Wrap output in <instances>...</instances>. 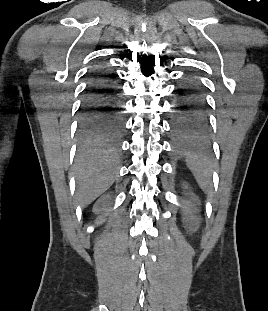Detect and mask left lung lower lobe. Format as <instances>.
Masks as SVG:
<instances>
[{"mask_svg":"<svg viewBox=\"0 0 268 311\" xmlns=\"http://www.w3.org/2000/svg\"><path fill=\"white\" fill-rule=\"evenodd\" d=\"M175 132L172 141H209V119L201 84L194 76H186L177 90L176 105L172 110Z\"/></svg>","mask_w":268,"mask_h":311,"instance_id":"1","label":"left lung lower lobe"}]
</instances>
